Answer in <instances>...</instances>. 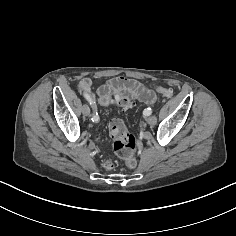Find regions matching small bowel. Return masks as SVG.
Returning a JSON list of instances; mask_svg holds the SVG:
<instances>
[{
	"instance_id": "small-bowel-1",
	"label": "small bowel",
	"mask_w": 236,
	"mask_h": 236,
	"mask_svg": "<svg viewBox=\"0 0 236 236\" xmlns=\"http://www.w3.org/2000/svg\"><path fill=\"white\" fill-rule=\"evenodd\" d=\"M92 81L88 77H84L79 82V88L89 96L90 102L92 106L96 107V102L94 95L91 93ZM123 92L125 94L130 95L132 98L140 100L145 103H154L155 95L149 89H147L143 84L131 80L126 79L124 77H116L114 78L108 85H105L100 88V95L108 93V92Z\"/></svg>"
}]
</instances>
